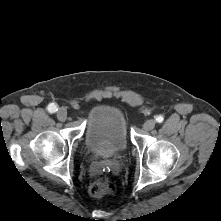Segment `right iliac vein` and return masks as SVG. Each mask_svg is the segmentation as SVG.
Returning a JSON list of instances; mask_svg holds the SVG:
<instances>
[{
    "label": "right iliac vein",
    "mask_w": 221,
    "mask_h": 221,
    "mask_svg": "<svg viewBox=\"0 0 221 221\" xmlns=\"http://www.w3.org/2000/svg\"><path fill=\"white\" fill-rule=\"evenodd\" d=\"M57 118L60 121H65L67 119V112L65 109L61 108L57 111Z\"/></svg>",
    "instance_id": "obj_1"
}]
</instances>
